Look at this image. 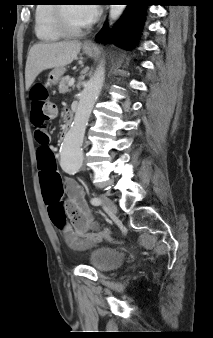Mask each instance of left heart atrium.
<instances>
[{
  "label": "left heart atrium",
  "mask_w": 213,
  "mask_h": 338,
  "mask_svg": "<svg viewBox=\"0 0 213 338\" xmlns=\"http://www.w3.org/2000/svg\"><path fill=\"white\" fill-rule=\"evenodd\" d=\"M78 11L87 24L93 23L99 16L98 5H80Z\"/></svg>",
  "instance_id": "left-heart-atrium-1"
}]
</instances>
